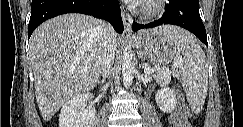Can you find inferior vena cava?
Returning a JSON list of instances; mask_svg holds the SVG:
<instances>
[{
	"label": "inferior vena cava",
	"instance_id": "602c4592",
	"mask_svg": "<svg viewBox=\"0 0 243 127\" xmlns=\"http://www.w3.org/2000/svg\"><path fill=\"white\" fill-rule=\"evenodd\" d=\"M102 27L106 35L103 40L101 74L103 78H106L110 74L115 58L116 46L112 39V35H114L115 32L109 24L102 23Z\"/></svg>",
	"mask_w": 243,
	"mask_h": 127
}]
</instances>
